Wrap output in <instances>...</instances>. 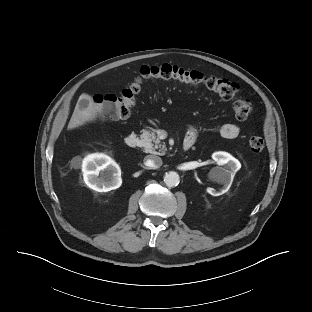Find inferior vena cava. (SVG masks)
<instances>
[{
	"instance_id": "1",
	"label": "inferior vena cava",
	"mask_w": 312,
	"mask_h": 312,
	"mask_svg": "<svg viewBox=\"0 0 312 312\" xmlns=\"http://www.w3.org/2000/svg\"><path fill=\"white\" fill-rule=\"evenodd\" d=\"M145 164L150 168L156 169L162 166L163 162L159 156L156 155H148L145 157Z\"/></svg>"
}]
</instances>
